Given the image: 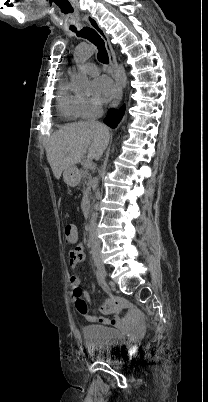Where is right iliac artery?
Instances as JSON below:
<instances>
[{
    "instance_id": "1",
    "label": "right iliac artery",
    "mask_w": 208,
    "mask_h": 402,
    "mask_svg": "<svg viewBox=\"0 0 208 402\" xmlns=\"http://www.w3.org/2000/svg\"><path fill=\"white\" fill-rule=\"evenodd\" d=\"M95 274H96V277H97V280H98L99 285L102 286V285L104 284V280H103V278H102L100 272H99L98 270H96Z\"/></svg>"
}]
</instances>
